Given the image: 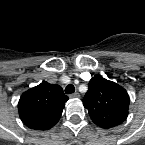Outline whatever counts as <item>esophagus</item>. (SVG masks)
<instances>
[{"label":"esophagus","mask_w":145,"mask_h":145,"mask_svg":"<svg viewBox=\"0 0 145 145\" xmlns=\"http://www.w3.org/2000/svg\"><path fill=\"white\" fill-rule=\"evenodd\" d=\"M70 98H72V99H78V98H80V94L78 92L73 93V94L70 95Z\"/></svg>","instance_id":"esophagus-1"}]
</instances>
